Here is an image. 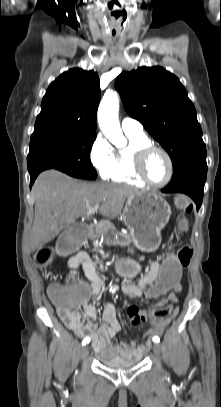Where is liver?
Returning a JSON list of instances; mask_svg holds the SVG:
<instances>
[{
    "label": "liver",
    "mask_w": 221,
    "mask_h": 407,
    "mask_svg": "<svg viewBox=\"0 0 221 407\" xmlns=\"http://www.w3.org/2000/svg\"><path fill=\"white\" fill-rule=\"evenodd\" d=\"M35 217L30 235L32 250L42 248L97 204L108 218L121 214L126 198L142 192L122 184L81 183L57 170L42 172L32 188Z\"/></svg>",
    "instance_id": "liver-1"
}]
</instances>
